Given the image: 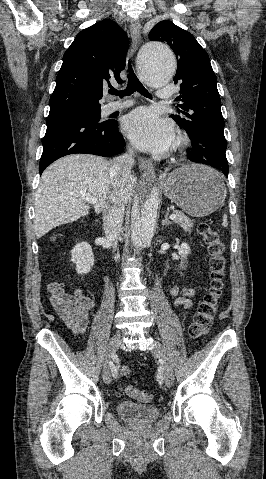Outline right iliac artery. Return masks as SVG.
<instances>
[{"mask_svg": "<svg viewBox=\"0 0 266 479\" xmlns=\"http://www.w3.org/2000/svg\"><path fill=\"white\" fill-rule=\"evenodd\" d=\"M109 366L111 368L113 377L116 378L117 377V370L115 369V367H114V365L111 361L109 362Z\"/></svg>", "mask_w": 266, "mask_h": 479, "instance_id": "right-iliac-artery-1", "label": "right iliac artery"}]
</instances>
